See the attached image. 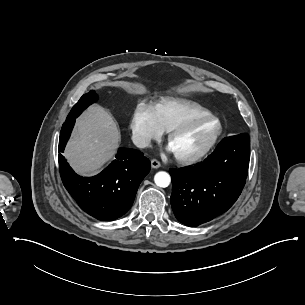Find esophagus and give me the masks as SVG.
I'll return each instance as SVG.
<instances>
[{
    "label": "esophagus",
    "instance_id": "obj_1",
    "mask_svg": "<svg viewBox=\"0 0 305 305\" xmlns=\"http://www.w3.org/2000/svg\"><path fill=\"white\" fill-rule=\"evenodd\" d=\"M151 166H152V168L157 169V168H159L161 166V164H160V162L157 159H152L151 160Z\"/></svg>",
    "mask_w": 305,
    "mask_h": 305
}]
</instances>
